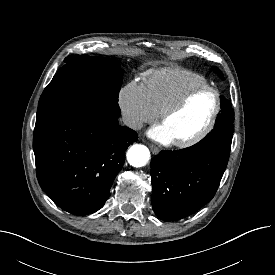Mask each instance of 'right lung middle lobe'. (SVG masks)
<instances>
[{"instance_id": "obj_1", "label": "right lung middle lobe", "mask_w": 275, "mask_h": 275, "mask_svg": "<svg viewBox=\"0 0 275 275\" xmlns=\"http://www.w3.org/2000/svg\"><path fill=\"white\" fill-rule=\"evenodd\" d=\"M44 89L37 109L36 126L75 108L121 114L118 93L123 71L120 64L108 58L70 55Z\"/></svg>"}]
</instances>
